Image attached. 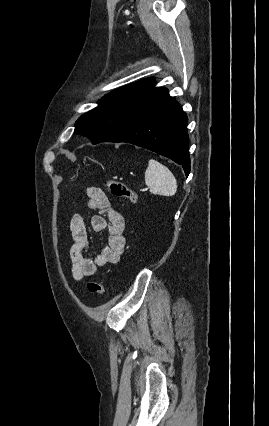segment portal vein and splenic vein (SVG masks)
Masks as SVG:
<instances>
[{
	"instance_id": "obj_1",
	"label": "portal vein and splenic vein",
	"mask_w": 269,
	"mask_h": 426,
	"mask_svg": "<svg viewBox=\"0 0 269 426\" xmlns=\"http://www.w3.org/2000/svg\"><path fill=\"white\" fill-rule=\"evenodd\" d=\"M146 190H147V188H143V189H142V191H146Z\"/></svg>"
}]
</instances>
